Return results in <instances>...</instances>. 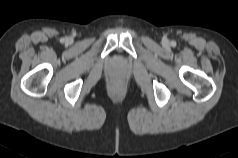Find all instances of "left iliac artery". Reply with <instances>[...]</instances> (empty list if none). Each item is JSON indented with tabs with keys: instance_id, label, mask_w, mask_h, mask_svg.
<instances>
[{
	"instance_id": "left-iliac-artery-1",
	"label": "left iliac artery",
	"mask_w": 238,
	"mask_h": 158,
	"mask_svg": "<svg viewBox=\"0 0 238 158\" xmlns=\"http://www.w3.org/2000/svg\"><path fill=\"white\" fill-rule=\"evenodd\" d=\"M171 45L174 47L176 45V42L175 41H172L171 42Z\"/></svg>"
}]
</instances>
